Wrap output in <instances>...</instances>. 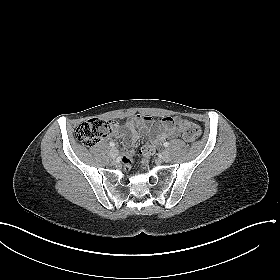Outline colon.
Returning <instances> with one entry per match:
<instances>
[{"instance_id": "obj_1", "label": "colon", "mask_w": 280, "mask_h": 280, "mask_svg": "<svg viewBox=\"0 0 280 280\" xmlns=\"http://www.w3.org/2000/svg\"><path fill=\"white\" fill-rule=\"evenodd\" d=\"M176 124L183 138L188 142L196 141L201 135L199 126L188 120H177ZM117 124L113 120H104L99 118L89 119L82 123L76 129V138L85 146H94L102 138L108 136L115 131ZM154 147L150 144L145 145L141 149L143 160L146 161L154 152ZM134 156L126 155L122 158L125 167L131 166Z\"/></svg>"}]
</instances>
